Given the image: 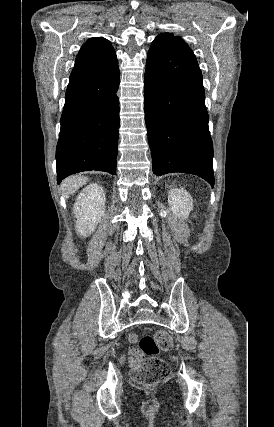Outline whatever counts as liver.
I'll list each match as a JSON object with an SVG mask.
<instances>
[{
  "label": "liver",
  "mask_w": 274,
  "mask_h": 427,
  "mask_svg": "<svg viewBox=\"0 0 274 427\" xmlns=\"http://www.w3.org/2000/svg\"><path fill=\"white\" fill-rule=\"evenodd\" d=\"M87 180L88 178H85V176H70V178H66L62 184L64 196H66V198L73 196L79 188H82V186L86 184Z\"/></svg>",
  "instance_id": "liver-1"
}]
</instances>
